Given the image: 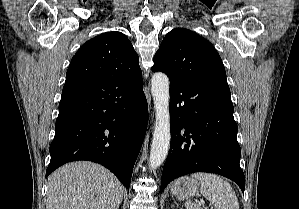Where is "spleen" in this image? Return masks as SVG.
Masks as SVG:
<instances>
[{
	"label": "spleen",
	"instance_id": "spleen-1",
	"mask_svg": "<svg viewBox=\"0 0 299 209\" xmlns=\"http://www.w3.org/2000/svg\"><path fill=\"white\" fill-rule=\"evenodd\" d=\"M190 179L200 183L202 195L208 199L215 209H239L237 196L231 185L220 176L210 173H194ZM187 209H201L199 203L185 202Z\"/></svg>",
	"mask_w": 299,
	"mask_h": 209
}]
</instances>
